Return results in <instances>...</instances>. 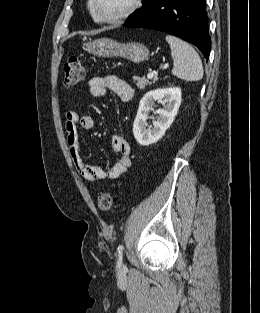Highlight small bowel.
<instances>
[{"label": "small bowel", "instance_id": "c3829d8e", "mask_svg": "<svg viewBox=\"0 0 260 313\" xmlns=\"http://www.w3.org/2000/svg\"><path fill=\"white\" fill-rule=\"evenodd\" d=\"M110 90L114 92L122 103L129 102L134 94L132 87L124 80L114 75L95 76L89 80V91L94 97H103ZM93 118L89 114H78L68 110L65 114V129L67 145L75 168L80 176L88 182L115 180L124 175L132 165L131 146L120 135L112 137V147L119 156L118 161L109 169L88 164L80 155V140L78 129H90Z\"/></svg>", "mask_w": 260, "mask_h": 313}]
</instances>
